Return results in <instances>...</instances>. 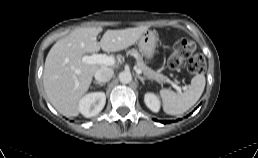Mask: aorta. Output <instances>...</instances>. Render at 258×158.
<instances>
[{
  "mask_svg": "<svg viewBox=\"0 0 258 158\" xmlns=\"http://www.w3.org/2000/svg\"><path fill=\"white\" fill-rule=\"evenodd\" d=\"M119 80L122 84H128L132 81V75L129 71H123L119 74Z\"/></svg>",
  "mask_w": 258,
  "mask_h": 158,
  "instance_id": "obj_1",
  "label": "aorta"
}]
</instances>
